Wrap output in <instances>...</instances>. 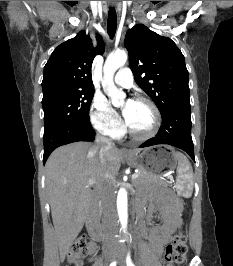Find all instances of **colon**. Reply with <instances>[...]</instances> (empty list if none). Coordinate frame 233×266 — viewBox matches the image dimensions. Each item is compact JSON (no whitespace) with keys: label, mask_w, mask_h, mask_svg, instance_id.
<instances>
[{"label":"colon","mask_w":233,"mask_h":266,"mask_svg":"<svg viewBox=\"0 0 233 266\" xmlns=\"http://www.w3.org/2000/svg\"><path fill=\"white\" fill-rule=\"evenodd\" d=\"M87 251V238L84 235L79 236L71 246L67 266H81V260ZM188 246L187 239L183 231H179L172 242L167 245L165 251V261L168 266H177L184 264L187 258Z\"/></svg>","instance_id":"1"}]
</instances>
